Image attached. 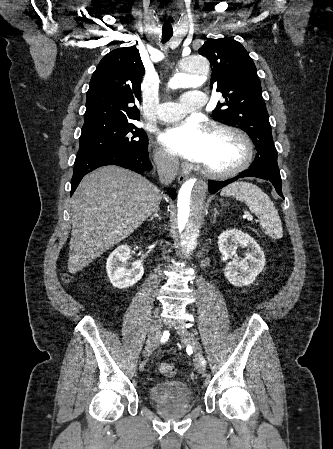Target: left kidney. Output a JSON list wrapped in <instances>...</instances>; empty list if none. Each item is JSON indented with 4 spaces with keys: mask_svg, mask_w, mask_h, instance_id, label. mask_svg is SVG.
<instances>
[{
    "mask_svg": "<svg viewBox=\"0 0 333 449\" xmlns=\"http://www.w3.org/2000/svg\"><path fill=\"white\" fill-rule=\"evenodd\" d=\"M218 246L222 255L231 258L225 267V277L234 286L250 285L264 268L265 255L262 249L254 238L241 230L222 232L218 237ZM237 246L248 248L244 260L233 258Z\"/></svg>",
    "mask_w": 333,
    "mask_h": 449,
    "instance_id": "left-kidney-1",
    "label": "left kidney"
}]
</instances>
